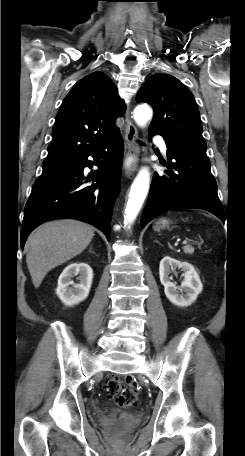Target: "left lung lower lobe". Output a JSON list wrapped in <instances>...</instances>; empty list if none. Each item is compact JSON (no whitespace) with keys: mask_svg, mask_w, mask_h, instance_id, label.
Returning <instances> with one entry per match:
<instances>
[{"mask_svg":"<svg viewBox=\"0 0 245 456\" xmlns=\"http://www.w3.org/2000/svg\"><path fill=\"white\" fill-rule=\"evenodd\" d=\"M157 133L149 132V137ZM166 175L155 172L141 217V227L157 216L178 208H199L224 222V211L207 156L167 139Z\"/></svg>","mask_w":245,"mask_h":456,"instance_id":"left-lung-lower-lobe-1","label":"left lung lower lobe"}]
</instances>
